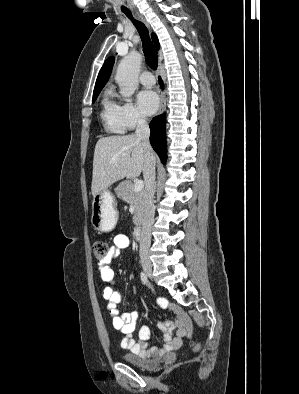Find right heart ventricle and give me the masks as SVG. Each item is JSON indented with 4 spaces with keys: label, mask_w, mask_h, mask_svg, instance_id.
<instances>
[{
    "label": "right heart ventricle",
    "mask_w": 299,
    "mask_h": 394,
    "mask_svg": "<svg viewBox=\"0 0 299 394\" xmlns=\"http://www.w3.org/2000/svg\"><path fill=\"white\" fill-rule=\"evenodd\" d=\"M101 117L104 122L106 129L112 133H122L124 131L118 109L117 104L114 103L110 98V92L107 91L105 93L103 102H102V112Z\"/></svg>",
    "instance_id": "1"
}]
</instances>
